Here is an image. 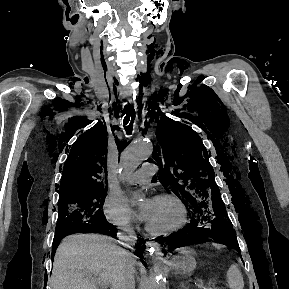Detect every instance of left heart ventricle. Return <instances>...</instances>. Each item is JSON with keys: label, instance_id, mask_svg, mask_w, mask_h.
<instances>
[{"label": "left heart ventricle", "instance_id": "1", "mask_svg": "<svg viewBox=\"0 0 289 289\" xmlns=\"http://www.w3.org/2000/svg\"><path fill=\"white\" fill-rule=\"evenodd\" d=\"M181 218V210L174 202L155 199L154 207L146 223L155 230H165L178 225Z\"/></svg>", "mask_w": 289, "mask_h": 289}]
</instances>
